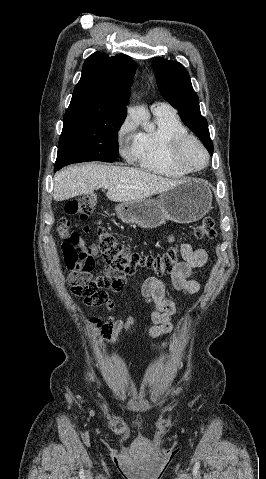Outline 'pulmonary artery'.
Segmentation results:
<instances>
[{"instance_id":"1","label":"pulmonary artery","mask_w":266,"mask_h":479,"mask_svg":"<svg viewBox=\"0 0 266 479\" xmlns=\"http://www.w3.org/2000/svg\"><path fill=\"white\" fill-rule=\"evenodd\" d=\"M154 111H167L172 110V108L164 102H156L152 106Z\"/></svg>"}]
</instances>
